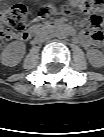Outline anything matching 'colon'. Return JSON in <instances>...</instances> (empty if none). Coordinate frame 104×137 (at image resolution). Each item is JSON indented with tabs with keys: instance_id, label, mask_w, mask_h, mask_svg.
<instances>
[{
	"instance_id": "obj_1",
	"label": "colon",
	"mask_w": 104,
	"mask_h": 137,
	"mask_svg": "<svg viewBox=\"0 0 104 137\" xmlns=\"http://www.w3.org/2000/svg\"><path fill=\"white\" fill-rule=\"evenodd\" d=\"M65 11L73 13L90 14V22L93 26L92 38L97 43L103 39L101 27V17L99 13L104 9V0H63ZM49 12L48 8L41 11L45 16ZM30 18V10L23 4L6 5L1 11V20L3 24V37L10 39L20 34L27 26Z\"/></svg>"
}]
</instances>
